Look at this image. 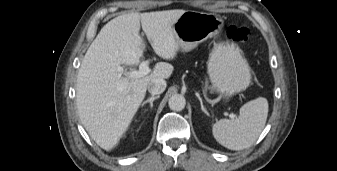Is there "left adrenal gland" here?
<instances>
[{"label":"left adrenal gland","mask_w":337,"mask_h":171,"mask_svg":"<svg viewBox=\"0 0 337 171\" xmlns=\"http://www.w3.org/2000/svg\"><path fill=\"white\" fill-rule=\"evenodd\" d=\"M196 96L198 97V99H199V101H200V104H201V110H202L207 116H209V113H208V111L206 110V108L204 107L200 95L197 93Z\"/></svg>","instance_id":"a2214340"}]
</instances>
